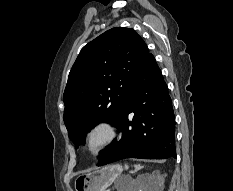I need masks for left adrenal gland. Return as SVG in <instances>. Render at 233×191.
<instances>
[{"label":"left adrenal gland","mask_w":233,"mask_h":191,"mask_svg":"<svg viewBox=\"0 0 233 191\" xmlns=\"http://www.w3.org/2000/svg\"><path fill=\"white\" fill-rule=\"evenodd\" d=\"M141 168H142L141 166L136 165V166H135V170H134V171L136 172V171H138V170H139V169H141Z\"/></svg>","instance_id":"1"}]
</instances>
